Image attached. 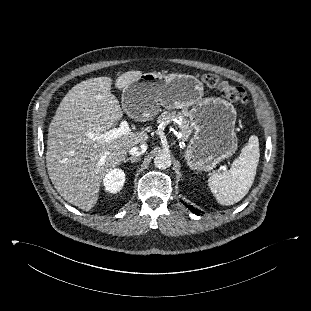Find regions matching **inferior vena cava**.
Returning <instances> with one entry per match:
<instances>
[{
    "mask_svg": "<svg viewBox=\"0 0 311 311\" xmlns=\"http://www.w3.org/2000/svg\"><path fill=\"white\" fill-rule=\"evenodd\" d=\"M147 150V145L145 143H142L140 147L138 146H133L130 150L129 153L133 156H140L142 155L145 151Z\"/></svg>",
    "mask_w": 311,
    "mask_h": 311,
    "instance_id": "inferior-vena-cava-1",
    "label": "inferior vena cava"
}]
</instances>
